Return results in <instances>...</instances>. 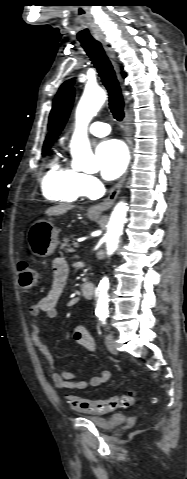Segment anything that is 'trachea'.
<instances>
[{
	"label": "trachea",
	"mask_w": 187,
	"mask_h": 479,
	"mask_svg": "<svg viewBox=\"0 0 187 479\" xmlns=\"http://www.w3.org/2000/svg\"><path fill=\"white\" fill-rule=\"evenodd\" d=\"M87 55L97 69L101 80L108 91L109 107L117 121L124 118V101L115 71L106 56L100 42L96 40L80 41Z\"/></svg>",
	"instance_id": "obj_1"
}]
</instances>
